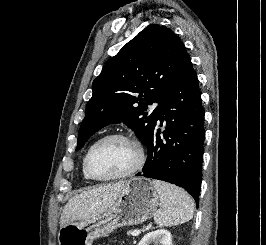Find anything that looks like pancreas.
<instances>
[{
	"label": "pancreas",
	"instance_id": "obj_1",
	"mask_svg": "<svg viewBox=\"0 0 266 245\" xmlns=\"http://www.w3.org/2000/svg\"><path fill=\"white\" fill-rule=\"evenodd\" d=\"M133 231H136V229H133ZM130 233H132V231H128L127 235H130Z\"/></svg>",
	"mask_w": 266,
	"mask_h": 245
}]
</instances>
